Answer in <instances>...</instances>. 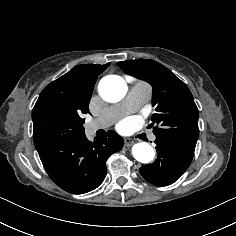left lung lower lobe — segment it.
Instances as JSON below:
<instances>
[{"instance_id":"1","label":"left lung lower lobe","mask_w":236,"mask_h":236,"mask_svg":"<svg viewBox=\"0 0 236 236\" xmlns=\"http://www.w3.org/2000/svg\"><path fill=\"white\" fill-rule=\"evenodd\" d=\"M155 143L157 159L152 164L141 166L139 171L148 182L167 186L177 181L187 170L196 144L170 137H156Z\"/></svg>"}]
</instances>
